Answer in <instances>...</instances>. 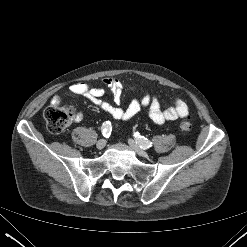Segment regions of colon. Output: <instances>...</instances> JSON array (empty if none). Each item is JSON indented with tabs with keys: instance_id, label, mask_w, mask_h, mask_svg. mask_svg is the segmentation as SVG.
<instances>
[{
	"instance_id": "5ec220e1",
	"label": "colon",
	"mask_w": 247,
	"mask_h": 247,
	"mask_svg": "<svg viewBox=\"0 0 247 247\" xmlns=\"http://www.w3.org/2000/svg\"><path fill=\"white\" fill-rule=\"evenodd\" d=\"M44 119L48 130L51 133L58 134L63 132L73 121L74 112L68 105L52 104L44 111ZM191 123L189 120L180 122L179 128L182 132L191 130Z\"/></svg>"
}]
</instances>
